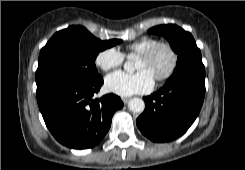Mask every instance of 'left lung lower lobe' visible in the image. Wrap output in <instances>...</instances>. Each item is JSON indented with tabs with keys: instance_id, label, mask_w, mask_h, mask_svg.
<instances>
[{
	"instance_id": "1",
	"label": "left lung lower lobe",
	"mask_w": 245,
	"mask_h": 170,
	"mask_svg": "<svg viewBox=\"0 0 245 170\" xmlns=\"http://www.w3.org/2000/svg\"><path fill=\"white\" fill-rule=\"evenodd\" d=\"M205 77H176L150 96L136 120L139 130L151 141L168 142L183 135L193 124L203 104Z\"/></svg>"
}]
</instances>
